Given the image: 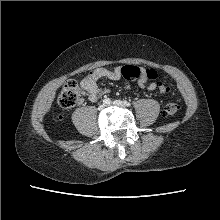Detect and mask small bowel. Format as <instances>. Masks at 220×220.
Here are the masks:
<instances>
[{
    "label": "small bowel",
    "instance_id": "small-bowel-1",
    "mask_svg": "<svg viewBox=\"0 0 220 220\" xmlns=\"http://www.w3.org/2000/svg\"><path fill=\"white\" fill-rule=\"evenodd\" d=\"M121 76V69L120 67H116L113 69L110 68H97L89 75H87L80 83L81 88L85 92L87 98L91 102H95L98 100L99 97L105 95L108 90L105 88H100L98 86V81L100 79H109V80H118ZM139 86L143 89L152 91L157 88V83L150 81L148 76V69H142L141 77L139 79Z\"/></svg>",
    "mask_w": 220,
    "mask_h": 220
}]
</instances>
